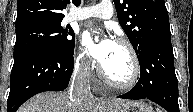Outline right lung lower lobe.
Wrapping results in <instances>:
<instances>
[{"mask_svg": "<svg viewBox=\"0 0 193 112\" xmlns=\"http://www.w3.org/2000/svg\"><path fill=\"white\" fill-rule=\"evenodd\" d=\"M73 53L40 46L14 57L7 112H16L26 100L40 92L67 88L74 67Z\"/></svg>", "mask_w": 193, "mask_h": 112, "instance_id": "obj_1", "label": "right lung lower lobe"}]
</instances>
